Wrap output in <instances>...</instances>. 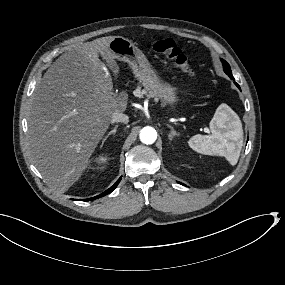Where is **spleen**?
<instances>
[{
  "label": "spleen",
  "mask_w": 285,
  "mask_h": 285,
  "mask_svg": "<svg viewBox=\"0 0 285 285\" xmlns=\"http://www.w3.org/2000/svg\"><path fill=\"white\" fill-rule=\"evenodd\" d=\"M227 115L226 113L215 114L210 121V129L212 135L197 134L192 136L188 144L198 153L205 155H220L225 156L231 165H235L240 156V149L242 147L243 132L240 126H237L234 131L227 130L221 133L218 129V125L227 127ZM238 146V151L233 152L235 147Z\"/></svg>",
  "instance_id": "3e777b00"
}]
</instances>
